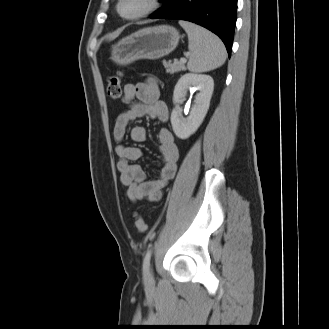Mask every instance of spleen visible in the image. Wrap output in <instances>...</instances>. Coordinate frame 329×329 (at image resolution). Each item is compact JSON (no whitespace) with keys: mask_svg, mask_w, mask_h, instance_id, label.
Masks as SVG:
<instances>
[{"mask_svg":"<svg viewBox=\"0 0 329 329\" xmlns=\"http://www.w3.org/2000/svg\"><path fill=\"white\" fill-rule=\"evenodd\" d=\"M188 35L190 58L188 70L195 73L207 72L224 64L226 49L222 41L213 33L187 21H179Z\"/></svg>","mask_w":329,"mask_h":329,"instance_id":"spleen-1","label":"spleen"}]
</instances>
